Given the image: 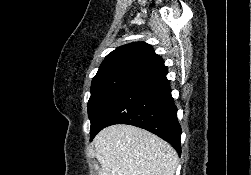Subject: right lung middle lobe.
Returning <instances> with one entry per match:
<instances>
[{
  "instance_id": "right-lung-middle-lobe-1",
  "label": "right lung middle lobe",
  "mask_w": 251,
  "mask_h": 175,
  "mask_svg": "<svg viewBox=\"0 0 251 175\" xmlns=\"http://www.w3.org/2000/svg\"><path fill=\"white\" fill-rule=\"evenodd\" d=\"M138 79L131 76H116L92 82L88 101V116L91 122L90 135L93 136L99 122L109 106Z\"/></svg>"
}]
</instances>
